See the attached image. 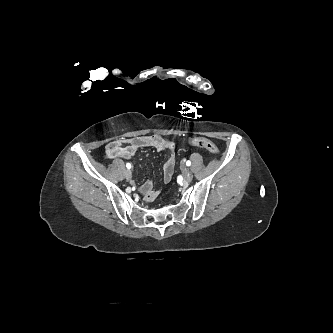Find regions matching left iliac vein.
<instances>
[{
	"mask_svg": "<svg viewBox=\"0 0 333 333\" xmlns=\"http://www.w3.org/2000/svg\"><path fill=\"white\" fill-rule=\"evenodd\" d=\"M184 182L190 183L193 179V175L187 167H183Z\"/></svg>",
	"mask_w": 333,
	"mask_h": 333,
	"instance_id": "obj_1",
	"label": "left iliac vein"
}]
</instances>
